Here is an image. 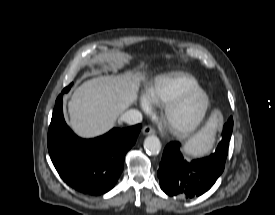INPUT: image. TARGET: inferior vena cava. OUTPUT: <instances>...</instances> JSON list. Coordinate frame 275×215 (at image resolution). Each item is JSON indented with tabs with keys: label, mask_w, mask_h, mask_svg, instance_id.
<instances>
[{
	"label": "inferior vena cava",
	"mask_w": 275,
	"mask_h": 215,
	"mask_svg": "<svg viewBox=\"0 0 275 215\" xmlns=\"http://www.w3.org/2000/svg\"><path fill=\"white\" fill-rule=\"evenodd\" d=\"M121 120L129 125L138 124L142 121V114L136 109H130L121 116Z\"/></svg>",
	"instance_id": "inferior-vena-cava-1"
}]
</instances>
